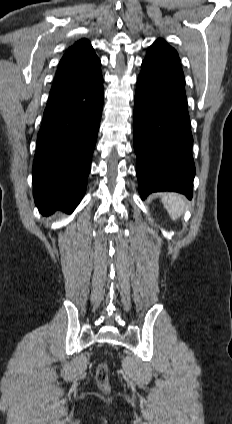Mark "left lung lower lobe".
<instances>
[{
	"label": "left lung lower lobe",
	"instance_id": "obj_1",
	"mask_svg": "<svg viewBox=\"0 0 232 424\" xmlns=\"http://www.w3.org/2000/svg\"><path fill=\"white\" fill-rule=\"evenodd\" d=\"M133 132L141 198L152 192L176 191L191 199L193 137L179 63L142 62Z\"/></svg>",
	"mask_w": 232,
	"mask_h": 424
}]
</instances>
